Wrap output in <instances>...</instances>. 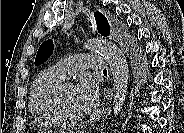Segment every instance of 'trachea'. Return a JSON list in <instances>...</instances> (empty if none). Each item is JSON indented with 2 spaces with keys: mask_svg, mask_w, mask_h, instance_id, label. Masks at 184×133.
I'll return each instance as SVG.
<instances>
[{
  "mask_svg": "<svg viewBox=\"0 0 184 133\" xmlns=\"http://www.w3.org/2000/svg\"><path fill=\"white\" fill-rule=\"evenodd\" d=\"M103 72H107V69L105 68V69L103 70Z\"/></svg>",
  "mask_w": 184,
  "mask_h": 133,
  "instance_id": "trachea-1",
  "label": "trachea"
}]
</instances>
